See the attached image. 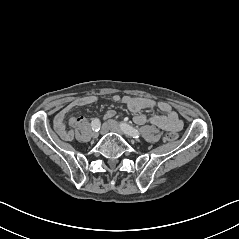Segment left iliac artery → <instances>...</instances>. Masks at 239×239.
Here are the masks:
<instances>
[{
    "mask_svg": "<svg viewBox=\"0 0 239 239\" xmlns=\"http://www.w3.org/2000/svg\"><path fill=\"white\" fill-rule=\"evenodd\" d=\"M121 129L128 134L129 136L133 137V138H139L140 133L137 129H135L134 127L130 126L127 123L121 122L120 124Z\"/></svg>",
    "mask_w": 239,
    "mask_h": 239,
    "instance_id": "left-iliac-artery-1",
    "label": "left iliac artery"
}]
</instances>
